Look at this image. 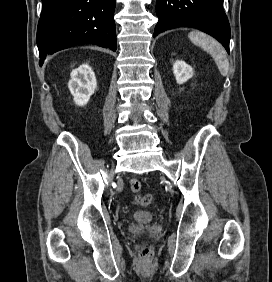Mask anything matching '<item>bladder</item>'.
I'll use <instances>...</instances> for the list:
<instances>
[{
	"label": "bladder",
	"mask_w": 272,
	"mask_h": 282,
	"mask_svg": "<svg viewBox=\"0 0 272 282\" xmlns=\"http://www.w3.org/2000/svg\"><path fill=\"white\" fill-rule=\"evenodd\" d=\"M133 219L139 222L149 223L153 220L154 216L150 212L136 211L132 215Z\"/></svg>",
	"instance_id": "1"
}]
</instances>
